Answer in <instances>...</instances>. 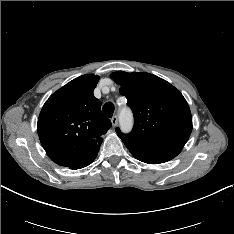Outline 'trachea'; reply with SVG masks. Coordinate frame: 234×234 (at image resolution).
<instances>
[{
    "label": "trachea",
    "mask_w": 234,
    "mask_h": 234,
    "mask_svg": "<svg viewBox=\"0 0 234 234\" xmlns=\"http://www.w3.org/2000/svg\"><path fill=\"white\" fill-rule=\"evenodd\" d=\"M114 104L112 102H107L106 104H104L103 106V113L111 118L113 116V113H114Z\"/></svg>",
    "instance_id": "trachea-1"
}]
</instances>
